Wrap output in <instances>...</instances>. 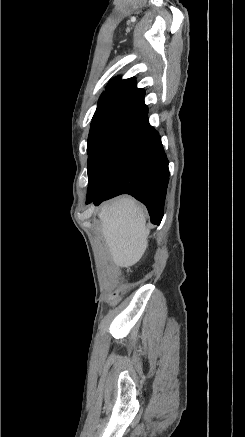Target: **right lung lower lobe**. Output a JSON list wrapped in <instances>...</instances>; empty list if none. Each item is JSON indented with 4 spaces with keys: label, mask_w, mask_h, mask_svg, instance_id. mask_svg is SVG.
<instances>
[{
    "label": "right lung lower lobe",
    "mask_w": 245,
    "mask_h": 437,
    "mask_svg": "<svg viewBox=\"0 0 245 437\" xmlns=\"http://www.w3.org/2000/svg\"><path fill=\"white\" fill-rule=\"evenodd\" d=\"M169 182L168 160L158 132L147 113L111 147L89 179L87 201L100 204L120 194H130L148 209L159 225Z\"/></svg>",
    "instance_id": "98d812e1"
}]
</instances>
